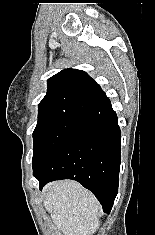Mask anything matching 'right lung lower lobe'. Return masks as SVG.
<instances>
[{"mask_svg":"<svg viewBox=\"0 0 155 235\" xmlns=\"http://www.w3.org/2000/svg\"><path fill=\"white\" fill-rule=\"evenodd\" d=\"M98 121L73 137L46 168L33 172L40 189L49 181L73 179L89 189L110 213L118 192L121 131L116 113L99 85L88 92Z\"/></svg>","mask_w":155,"mask_h":235,"instance_id":"1","label":"right lung lower lobe"}]
</instances>
